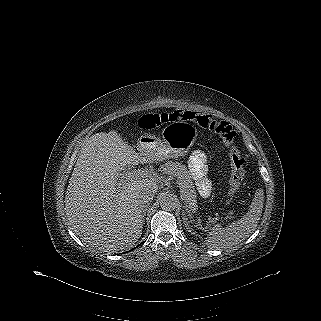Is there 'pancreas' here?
<instances>
[{
    "mask_svg": "<svg viewBox=\"0 0 321 321\" xmlns=\"http://www.w3.org/2000/svg\"><path fill=\"white\" fill-rule=\"evenodd\" d=\"M165 174L176 178L185 204L191 212L197 210L196 192L187 168L179 162L168 161L162 166Z\"/></svg>",
    "mask_w": 321,
    "mask_h": 321,
    "instance_id": "cf45deb5",
    "label": "pancreas"
}]
</instances>
